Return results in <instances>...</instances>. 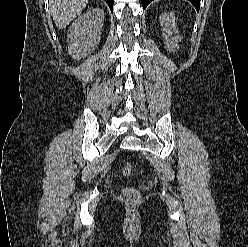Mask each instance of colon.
<instances>
[{"mask_svg":"<svg viewBox=\"0 0 248 247\" xmlns=\"http://www.w3.org/2000/svg\"><path fill=\"white\" fill-rule=\"evenodd\" d=\"M135 172L133 165L129 162L122 167V174L125 177L131 176ZM123 200L128 205H135L140 201V193L134 188H125L122 192Z\"/></svg>","mask_w":248,"mask_h":247,"instance_id":"5ec220e1","label":"colon"}]
</instances>
